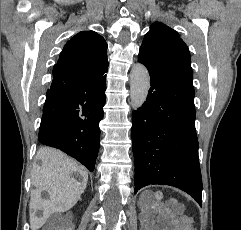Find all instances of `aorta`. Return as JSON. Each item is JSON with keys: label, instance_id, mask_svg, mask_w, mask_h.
<instances>
[{"label": "aorta", "instance_id": "obj_1", "mask_svg": "<svg viewBox=\"0 0 241 230\" xmlns=\"http://www.w3.org/2000/svg\"><path fill=\"white\" fill-rule=\"evenodd\" d=\"M150 88V76L146 67L137 63L130 73V99L134 109L140 108L146 101Z\"/></svg>", "mask_w": 241, "mask_h": 230}]
</instances>
